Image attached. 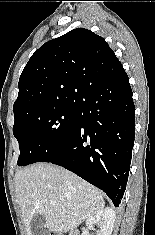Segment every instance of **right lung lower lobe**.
Listing matches in <instances>:
<instances>
[{"label": "right lung lower lobe", "instance_id": "98d812e1", "mask_svg": "<svg viewBox=\"0 0 155 235\" xmlns=\"http://www.w3.org/2000/svg\"><path fill=\"white\" fill-rule=\"evenodd\" d=\"M77 107L75 132L41 162L74 172L119 206L135 137V106L125 71L91 88Z\"/></svg>", "mask_w": 155, "mask_h": 235}]
</instances>
